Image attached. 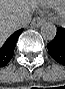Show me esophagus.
Returning a JSON list of instances; mask_svg holds the SVG:
<instances>
[{"label": "esophagus", "instance_id": "obj_1", "mask_svg": "<svg viewBox=\"0 0 65 89\" xmlns=\"http://www.w3.org/2000/svg\"><path fill=\"white\" fill-rule=\"evenodd\" d=\"M45 22V20L41 17H35L32 22L31 25L34 27H40L43 23Z\"/></svg>", "mask_w": 65, "mask_h": 89}]
</instances>
